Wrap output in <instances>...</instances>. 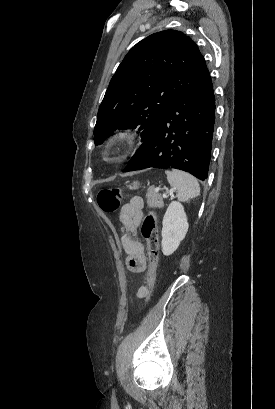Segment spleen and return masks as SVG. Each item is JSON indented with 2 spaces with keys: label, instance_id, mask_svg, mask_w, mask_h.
Returning <instances> with one entry per match:
<instances>
[{
  "label": "spleen",
  "instance_id": "1",
  "mask_svg": "<svg viewBox=\"0 0 275 409\" xmlns=\"http://www.w3.org/2000/svg\"><path fill=\"white\" fill-rule=\"evenodd\" d=\"M171 186H175L177 190L178 200H190V198H195L200 194V186L197 178L188 174V172H183V170H165Z\"/></svg>",
  "mask_w": 275,
  "mask_h": 409
}]
</instances>
